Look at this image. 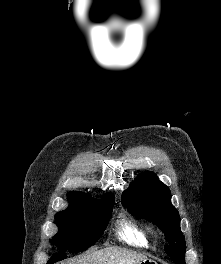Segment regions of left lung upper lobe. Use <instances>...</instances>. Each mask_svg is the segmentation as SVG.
Wrapping results in <instances>:
<instances>
[{
	"label": "left lung upper lobe",
	"mask_w": 221,
	"mask_h": 264,
	"mask_svg": "<svg viewBox=\"0 0 221 264\" xmlns=\"http://www.w3.org/2000/svg\"><path fill=\"white\" fill-rule=\"evenodd\" d=\"M122 204L128 211L156 224L165 235L164 250L178 264H185V238L180 229V216L171 204L169 188L153 172H145L123 192Z\"/></svg>",
	"instance_id": "5c2ea615"
}]
</instances>
